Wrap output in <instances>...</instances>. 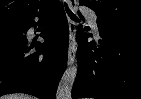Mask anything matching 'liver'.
I'll use <instances>...</instances> for the list:
<instances>
[{"mask_svg": "<svg viewBox=\"0 0 141 99\" xmlns=\"http://www.w3.org/2000/svg\"><path fill=\"white\" fill-rule=\"evenodd\" d=\"M1 99H35V98L25 94H11L7 96H3Z\"/></svg>", "mask_w": 141, "mask_h": 99, "instance_id": "1", "label": "liver"}]
</instances>
